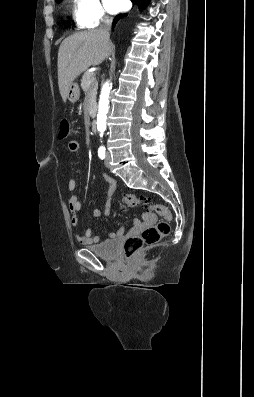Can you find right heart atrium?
Returning a JSON list of instances; mask_svg holds the SVG:
<instances>
[{"mask_svg":"<svg viewBox=\"0 0 254 397\" xmlns=\"http://www.w3.org/2000/svg\"><path fill=\"white\" fill-rule=\"evenodd\" d=\"M75 18L82 28H95L110 20L100 0H76Z\"/></svg>","mask_w":254,"mask_h":397,"instance_id":"d8ad5b80","label":"right heart atrium"}]
</instances>
